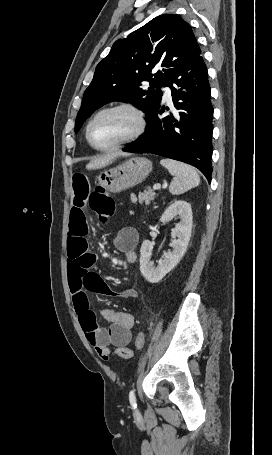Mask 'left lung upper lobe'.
I'll return each instance as SVG.
<instances>
[{
	"instance_id": "obj_1",
	"label": "left lung upper lobe",
	"mask_w": 272,
	"mask_h": 455,
	"mask_svg": "<svg viewBox=\"0 0 272 455\" xmlns=\"http://www.w3.org/2000/svg\"><path fill=\"white\" fill-rule=\"evenodd\" d=\"M200 55L190 25L176 14L157 16L126 39L117 40L84 92L75 132L96 109L112 101L131 103L149 117L160 104V88Z\"/></svg>"
}]
</instances>
